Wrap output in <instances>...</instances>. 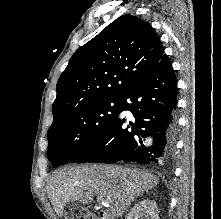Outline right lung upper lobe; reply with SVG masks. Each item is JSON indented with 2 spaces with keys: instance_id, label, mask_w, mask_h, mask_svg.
Returning a JSON list of instances; mask_svg holds the SVG:
<instances>
[{
  "instance_id": "cb5924a9",
  "label": "right lung upper lobe",
  "mask_w": 221,
  "mask_h": 219,
  "mask_svg": "<svg viewBox=\"0 0 221 219\" xmlns=\"http://www.w3.org/2000/svg\"><path fill=\"white\" fill-rule=\"evenodd\" d=\"M163 56L148 22L130 14L117 18L71 57L57 82L53 121L89 102L120 99Z\"/></svg>"
}]
</instances>
